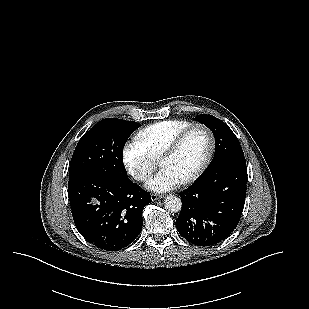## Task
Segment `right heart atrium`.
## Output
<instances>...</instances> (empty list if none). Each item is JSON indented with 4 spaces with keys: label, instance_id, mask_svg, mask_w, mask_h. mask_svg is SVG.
Instances as JSON below:
<instances>
[{
    "label": "right heart atrium",
    "instance_id": "d8ad5b80",
    "mask_svg": "<svg viewBox=\"0 0 309 309\" xmlns=\"http://www.w3.org/2000/svg\"><path fill=\"white\" fill-rule=\"evenodd\" d=\"M123 161L129 174L137 181H146L157 167L152 157L137 141L127 143L123 149Z\"/></svg>",
    "mask_w": 309,
    "mask_h": 309
}]
</instances>
